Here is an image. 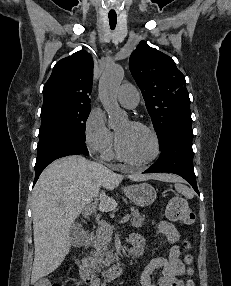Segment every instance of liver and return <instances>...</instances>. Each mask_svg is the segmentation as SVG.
Wrapping results in <instances>:
<instances>
[{
	"label": "liver",
	"mask_w": 231,
	"mask_h": 286,
	"mask_svg": "<svg viewBox=\"0 0 231 286\" xmlns=\"http://www.w3.org/2000/svg\"><path fill=\"white\" fill-rule=\"evenodd\" d=\"M123 178L80 155L57 159L42 172L32 194L35 246L32 284L61 265L71 248L70 229L87 205L99 200L101 212L117 207V202L100 189L113 190ZM128 178L133 181L178 180L169 174L129 175Z\"/></svg>",
	"instance_id": "obj_1"
}]
</instances>
